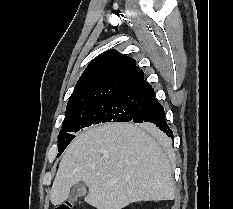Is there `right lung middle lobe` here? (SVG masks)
I'll list each match as a JSON object with an SVG mask.
<instances>
[{"mask_svg":"<svg viewBox=\"0 0 233 209\" xmlns=\"http://www.w3.org/2000/svg\"><path fill=\"white\" fill-rule=\"evenodd\" d=\"M143 107L141 104L118 100L98 101L78 106L66 111L59 133V157L68 144L75 138L74 132L105 122H128ZM148 128L147 125H141Z\"/></svg>","mask_w":233,"mask_h":209,"instance_id":"1","label":"right lung middle lobe"}]
</instances>
